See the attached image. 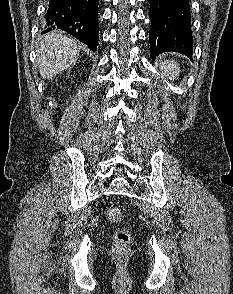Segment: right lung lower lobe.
<instances>
[{
	"instance_id": "obj_1",
	"label": "right lung lower lobe",
	"mask_w": 233,
	"mask_h": 294,
	"mask_svg": "<svg viewBox=\"0 0 233 294\" xmlns=\"http://www.w3.org/2000/svg\"><path fill=\"white\" fill-rule=\"evenodd\" d=\"M99 0H50L44 32L62 29L96 51Z\"/></svg>"
}]
</instances>
